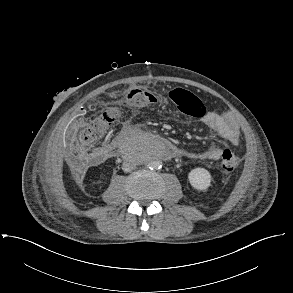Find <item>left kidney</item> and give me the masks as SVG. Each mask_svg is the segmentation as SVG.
I'll list each match as a JSON object with an SVG mask.
<instances>
[{
	"instance_id": "5707ae66",
	"label": "left kidney",
	"mask_w": 293,
	"mask_h": 293,
	"mask_svg": "<svg viewBox=\"0 0 293 293\" xmlns=\"http://www.w3.org/2000/svg\"><path fill=\"white\" fill-rule=\"evenodd\" d=\"M191 186L199 191H206L211 186V175L205 168H194L188 174Z\"/></svg>"
}]
</instances>
